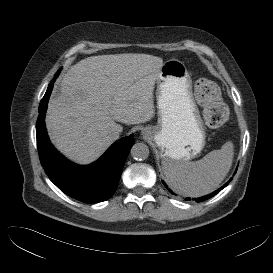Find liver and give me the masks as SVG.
Instances as JSON below:
<instances>
[{"instance_id":"obj_1","label":"liver","mask_w":273,"mask_h":273,"mask_svg":"<svg viewBox=\"0 0 273 273\" xmlns=\"http://www.w3.org/2000/svg\"><path fill=\"white\" fill-rule=\"evenodd\" d=\"M163 59L148 54L91 56L73 65L50 100L46 121L57 149L79 164L97 160L127 125L154 117Z\"/></svg>"}]
</instances>
